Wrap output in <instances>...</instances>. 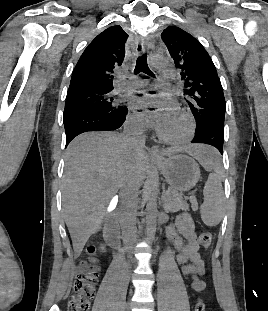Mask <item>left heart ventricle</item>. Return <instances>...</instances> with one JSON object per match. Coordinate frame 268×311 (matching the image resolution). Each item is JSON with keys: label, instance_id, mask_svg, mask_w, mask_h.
I'll return each mask as SVG.
<instances>
[{"label": "left heart ventricle", "instance_id": "left-heart-ventricle-1", "mask_svg": "<svg viewBox=\"0 0 268 311\" xmlns=\"http://www.w3.org/2000/svg\"><path fill=\"white\" fill-rule=\"evenodd\" d=\"M162 131L170 137H179L185 131V121L179 113H175L168 121L160 125Z\"/></svg>", "mask_w": 268, "mask_h": 311}]
</instances>
